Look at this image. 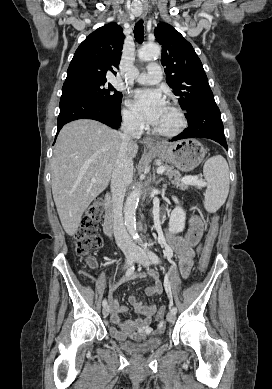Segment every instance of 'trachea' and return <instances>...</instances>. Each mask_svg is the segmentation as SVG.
I'll return each mask as SVG.
<instances>
[{"mask_svg": "<svg viewBox=\"0 0 272 389\" xmlns=\"http://www.w3.org/2000/svg\"><path fill=\"white\" fill-rule=\"evenodd\" d=\"M134 37L138 43H142L144 40V26L142 20H139L134 27Z\"/></svg>", "mask_w": 272, "mask_h": 389, "instance_id": "obj_1", "label": "trachea"}]
</instances>
